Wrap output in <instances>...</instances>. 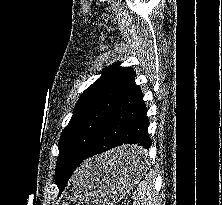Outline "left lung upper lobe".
<instances>
[{
    "label": "left lung upper lobe",
    "mask_w": 222,
    "mask_h": 205,
    "mask_svg": "<svg viewBox=\"0 0 222 205\" xmlns=\"http://www.w3.org/2000/svg\"><path fill=\"white\" fill-rule=\"evenodd\" d=\"M135 77L130 67L113 64L80 96L73 116L59 141L55 183L61 187L71 177L64 168L68 158L86 154L107 115Z\"/></svg>",
    "instance_id": "5c2ea615"
}]
</instances>
